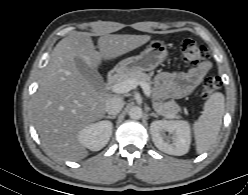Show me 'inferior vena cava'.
Masks as SVG:
<instances>
[{"label": "inferior vena cava", "instance_id": "602c4592", "mask_svg": "<svg viewBox=\"0 0 248 195\" xmlns=\"http://www.w3.org/2000/svg\"><path fill=\"white\" fill-rule=\"evenodd\" d=\"M124 106V101L121 98L112 97L105 104V111L110 115L118 114Z\"/></svg>", "mask_w": 248, "mask_h": 195}]
</instances>
